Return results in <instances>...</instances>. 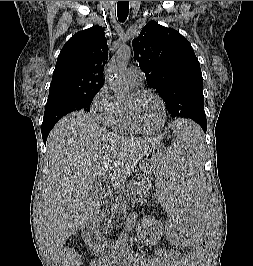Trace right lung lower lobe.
<instances>
[{"label":"right lung lower lobe","instance_id":"1","mask_svg":"<svg viewBox=\"0 0 253 266\" xmlns=\"http://www.w3.org/2000/svg\"><path fill=\"white\" fill-rule=\"evenodd\" d=\"M54 124H49L47 126H43L42 127V138H43V141H44L45 144H46V140H47V137L49 135V132L53 128Z\"/></svg>","mask_w":253,"mask_h":266}]
</instances>
